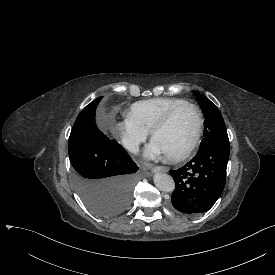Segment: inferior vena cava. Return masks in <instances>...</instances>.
I'll return each instance as SVG.
<instances>
[{"label":"inferior vena cava","mask_w":275,"mask_h":275,"mask_svg":"<svg viewBox=\"0 0 275 275\" xmlns=\"http://www.w3.org/2000/svg\"><path fill=\"white\" fill-rule=\"evenodd\" d=\"M122 143L124 148L130 151L131 153H137L139 151V142L136 140L124 138L122 140Z\"/></svg>","instance_id":"1"}]
</instances>
